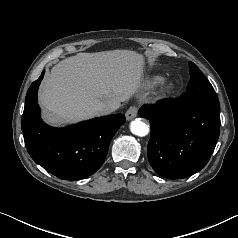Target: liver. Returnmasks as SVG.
<instances>
[{"label": "liver", "mask_w": 238, "mask_h": 238, "mask_svg": "<svg viewBox=\"0 0 238 238\" xmlns=\"http://www.w3.org/2000/svg\"><path fill=\"white\" fill-rule=\"evenodd\" d=\"M144 58L130 50L78 53L56 64L39 91L44 119L62 125L100 115L102 104H116L141 87Z\"/></svg>", "instance_id": "6515ba94"}]
</instances>
